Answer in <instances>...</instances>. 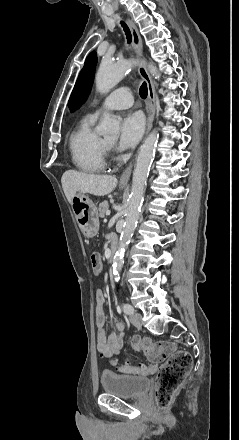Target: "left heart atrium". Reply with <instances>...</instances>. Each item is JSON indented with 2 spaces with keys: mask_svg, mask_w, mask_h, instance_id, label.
Here are the masks:
<instances>
[{
  "mask_svg": "<svg viewBox=\"0 0 239 440\" xmlns=\"http://www.w3.org/2000/svg\"><path fill=\"white\" fill-rule=\"evenodd\" d=\"M144 131V118L139 112L125 114L119 127L117 147L127 149L134 146Z\"/></svg>",
  "mask_w": 239,
  "mask_h": 440,
  "instance_id": "left-heart-atrium-1",
  "label": "left heart atrium"
}]
</instances>
